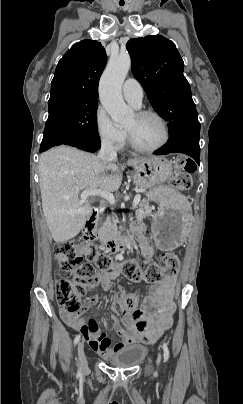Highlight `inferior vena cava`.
Returning a JSON list of instances; mask_svg holds the SVG:
<instances>
[{"label": "inferior vena cava", "instance_id": "inferior-vena-cava-1", "mask_svg": "<svg viewBox=\"0 0 243 404\" xmlns=\"http://www.w3.org/2000/svg\"><path fill=\"white\" fill-rule=\"evenodd\" d=\"M99 160L102 162V166H107L109 162H113V160H117V152L110 140L108 138H104L101 142V150L98 154Z\"/></svg>", "mask_w": 243, "mask_h": 404}]
</instances>
